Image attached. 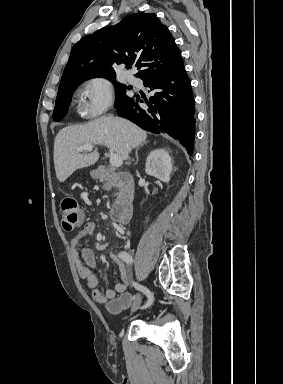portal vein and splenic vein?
<instances>
[{
    "label": "portal vein and splenic vein",
    "mask_w": 283,
    "mask_h": 384,
    "mask_svg": "<svg viewBox=\"0 0 283 384\" xmlns=\"http://www.w3.org/2000/svg\"><path fill=\"white\" fill-rule=\"evenodd\" d=\"M92 152L93 146L92 144H83V146H80V148H77V152ZM110 164L111 166H115V168H119V166H122L123 160L119 154H113L110 158Z\"/></svg>",
    "instance_id": "portal-vein-and-splenic-vein-1"
}]
</instances>
